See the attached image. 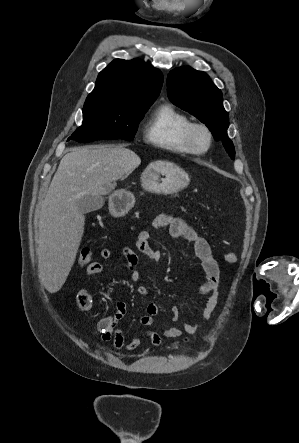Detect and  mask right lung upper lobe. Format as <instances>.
<instances>
[{
  "instance_id": "right-lung-upper-lobe-1",
  "label": "right lung upper lobe",
  "mask_w": 299,
  "mask_h": 443,
  "mask_svg": "<svg viewBox=\"0 0 299 443\" xmlns=\"http://www.w3.org/2000/svg\"><path fill=\"white\" fill-rule=\"evenodd\" d=\"M162 83L159 69L139 59H115L99 73L95 88L87 98L154 102Z\"/></svg>"
}]
</instances>
